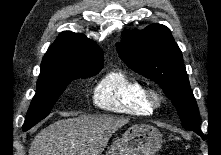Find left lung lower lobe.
I'll return each mask as SVG.
<instances>
[{
  "mask_svg": "<svg viewBox=\"0 0 221 155\" xmlns=\"http://www.w3.org/2000/svg\"><path fill=\"white\" fill-rule=\"evenodd\" d=\"M196 133H197L198 135H200L202 138H204V135L202 134L201 131H196Z\"/></svg>",
  "mask_w": 221,
  "mask_h": 155,
  "instance_id": "left-lung-lower-lobe-1",
  "label": "left lung lower lobe"
}]
</instances>
